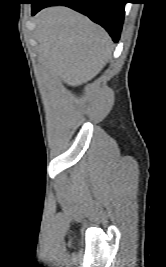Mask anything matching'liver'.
<instances>
[{"label":"liver","instance_id":"liver-1","mask_svg":"<svg viewBox=\"0 0 166 267\" xmlns=\"http://www.w3.org/2000/svg\"><path fill=\"white\" fill-rule=\"evenodd\" d=\"M41 56L53 75L69 86L94 78L112 56L108 33L89 18L66 7H49L37 18Z\"/></svg>","mask_w":166,"mask_h":267}]
</instances>
